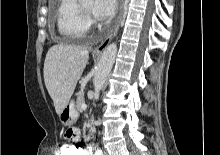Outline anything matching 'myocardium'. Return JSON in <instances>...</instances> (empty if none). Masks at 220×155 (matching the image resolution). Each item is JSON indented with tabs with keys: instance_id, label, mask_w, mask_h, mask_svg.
I'll list each match as a JSON object with an SVG mask.
<instances>
[{
	"instance_id": "myocardium-1",
	"label": "myocardium",
	"mask_w": 220,
	"mask_h": 155,
	"mask_svg": "<svg viewBox=\"0 0 220 155\" xmlns=\"http://www.w3.org/2000/svg\"><path fill=\"white\" fill-rule=\"evenodd\" d=\"M77 9L80 15L85 19L88 20L91 17V13L83 8L80 2L77 3Z\"/></svg>"
}]
</instances>
